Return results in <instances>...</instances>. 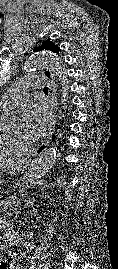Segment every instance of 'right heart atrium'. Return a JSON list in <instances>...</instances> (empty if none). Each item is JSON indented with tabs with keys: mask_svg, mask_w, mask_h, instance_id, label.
I'll return each instance as SVG.
<instances>
[{
	"mask_svg": "<svg viewBox=\"0 0 118 269\" xmlns=\"http://www.w3.org/2000/svg\"><path fill=\"white\" fill-rule=\"evenodd\" d=\"M8 135L12 139V141L18 146H22L26 143V139L20 134H8Z\"/></svg>",
	"mask_w": 118,
	"mask_h": 269,
	"instance_id": "right-heart-atrium-1",
	"label": "right heart atrium"
}]
</instances>
